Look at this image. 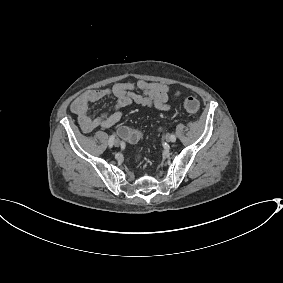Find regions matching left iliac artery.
Segmentation results:
<instances>
[{
	"label": "left iliac artery",
	"instance_id": "44dca946",
	"mask_svg": "<svg viewBox=\"0 0 283 283\" xmlns=\"http://www.w3.org/2000/svg\"><path fill=\"white\" fill-rule=\"evenodd\" d=\"M175 141H176L175 135L171 134V142H175Z\"/></svg>",
	"mask_w": 283,
	"mask_h": 283
}]
</instances>
